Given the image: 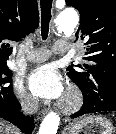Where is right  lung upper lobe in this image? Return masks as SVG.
Segmentation results:
<instances>
[{
    "instance_id": "1",
    "label": "right lung upper lobe",
    "mask_w": 116,
    "mask_h": 134,
    "mask_svg": "<svg viewBox=\"0 0 116 134\" xmlns=\"http://www.w3.org/2000/svg\"><path fill=\"white\" fill-rule=\"evenodd\" d=\"M39 25L36 0H0V66L7 65L12 47Z\"/></svg>"
}]
</instances>
